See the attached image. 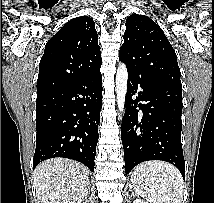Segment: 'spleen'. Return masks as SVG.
<instances>
[{"label":"spleen","instance_id":"obj_1","mask_svg":"<svg viewBox=\"0 0 214 203\" xmlns=\"http://www.w3.org/2000/svg\"><path fill=\"white\" fill-rule=\"evenodd\" d=\"M135 194L148 203H182L183 179L180 172L165 162L138 165L131 176Z\"/></svg>","mask_w":214,"mask_h":203}]
</instances>
